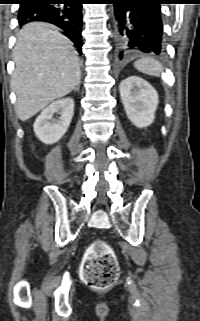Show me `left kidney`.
<instances>
[{"label":"left kidney","instance_id":"1","mask_svg":"<svg viewBox=\"0 0 200 321\" xmlns=\"http://www.w3.org/2000/svg\"><path fill=\"white\" fill-rule=\"evenodd\" d=\"M119 91L128 119L138 128L151 125L159 103L152 85L140 77L130 76L120 83Z\"/></svg>","mask_w":200,"mask_h":321}]
</instances>
